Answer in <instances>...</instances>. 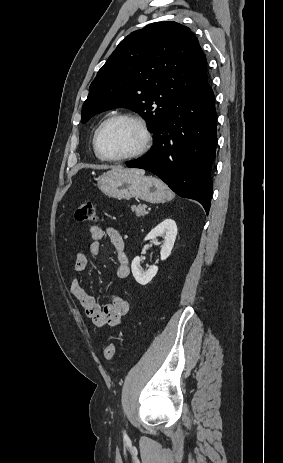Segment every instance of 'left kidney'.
I'll list each match as a JSON object with an SVG mask.
<instances>
[{"label": "left kidney", "mask_w": 283, "mask_h": 463, "mask_svg": "<svg viewBox=\"0 0 283 463\" xmlns=\"http://www.w3.org/2000/svg\"><path fill=\"white\" fill-rule=\"evenodd\" d=\"M177 225L176 222L172 219H165L160 224H158L155 228H153L145 237V241L147 240H154L157 237H162L163 244L161 246L160 256L161 260H166L173 249L176 236H177ZM141 259L139 256H136L131 264L132 274L135 280L141 284L146 285L148 284L153 277L158 272V267L155 265L149 266L147 271H144L140 265Z\"/></svg>", "instance_id": "obj_1"}]
</instances>
